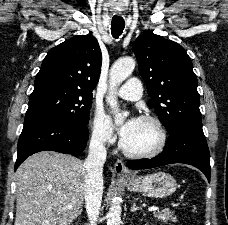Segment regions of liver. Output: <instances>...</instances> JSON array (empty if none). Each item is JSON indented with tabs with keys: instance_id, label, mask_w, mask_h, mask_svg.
Listing matches in <instances>:
<instances>
[{
	"instance_id": "6515ba94",
	"label": "liver",
	"mask_w": 228,
	"mask_h": 225,
	"mask_svg": "<svg viewBox=\"0 0 228 225\" xmlns=\"http://www.w3.org/2000/svg\"><path fill=\"white\" fill-rule=\"evenodd\" d=\"M85 175L84 161L71 155L42 151L28 157L15 173L14 225L74 223L82 213Z\"/></svg>"
}]
</instances>
